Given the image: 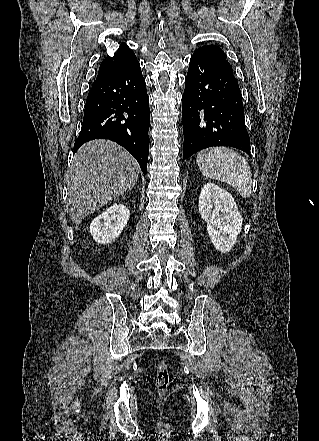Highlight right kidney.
<instances>
[{
    "label": "right kidney",
    "instance_id": "ca27d5eb",
    "mask_svg": "<svg viewBox=\"0 0 319 441\" xmlns=\"http://www.w3.org/2000/svg\"><path fill=\"white\" fill-rule=\"evenodd\" d=\"M130 217L123 204H114L97 216L90 225V233L98 244H109L123 231Z\"/></svg>",
    "mask_w": 319,
    "mask_h": 441
}]
</instances>
